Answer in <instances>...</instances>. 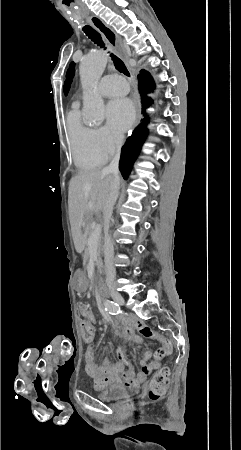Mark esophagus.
Instances as JSON below:
<instances>
[{
  "mask_svg": "<svg viewBox=\"0 0 241 450\" xmlns=\"http://www.w3.org/2000/svg\"><path fill=\"white\" fill-rule=\"evenodd\" d=\"M88 22L93 25L103 36V38L108 43L109 47L114 50L116 53L120 52L119 49V37L117 33L114 32L112 28H110L101 18H99L96 15H93L88 18ZM124 60L126 59V55L123 53ZM133 101L136 111V121L134 124V128L137 127V125L140 123L141 120V107H140V100L137 93V90L134 91L133 94Z\"/></svg>",
  "mask_w": 241,
  "mask_h": 450,
  "instance_id": "1",
  "label": "esophagus"
}]
</instances>
